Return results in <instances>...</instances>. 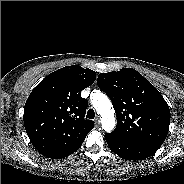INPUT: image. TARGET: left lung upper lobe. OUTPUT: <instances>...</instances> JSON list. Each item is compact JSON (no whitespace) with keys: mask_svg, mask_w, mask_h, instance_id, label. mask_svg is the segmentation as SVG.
I'll return each mask as SVG.
<instances>
[{"mask_svg":"<svg viewBox=\"0 0 184 184\" xmlns=\"http://www.w3.org/2000/svg\"><path fill=\"white\" fill-rule=\"evenodd\" d=\"M97 84L116 110L117 126L112 133L155 153L170 124V110L160 92L132 68L100 73Z\"/></svg>","mask_w":184,"mask_h":184,"instance_id":"5c2ea615","label":"left lung upper lobe"}]
</instances>
